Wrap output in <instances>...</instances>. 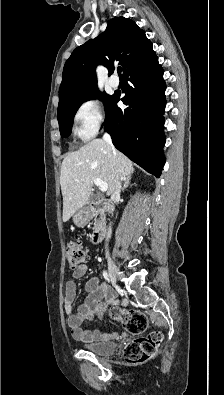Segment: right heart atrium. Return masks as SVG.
I'll list each match as a JSON object with an SVG mask.
<instances>
[{
  "mask_svg": "<svg viewBox=\"0 0 224 395\" xmlns=\"http://www.w3.org/2000/svg\"><path fill=\"white\" fill-rule=\"evenodd\" d=\"M73 120L76 135L83 140L91 139L105 123L101 102L98 99L82 101L74 112Z\"/></svg>",
  "mask_w": 224,
  "mask_h": 395,
  "instance_id": "right-heart-atrium-1",
  "label": "right heart atrium"
}]
</instances>
